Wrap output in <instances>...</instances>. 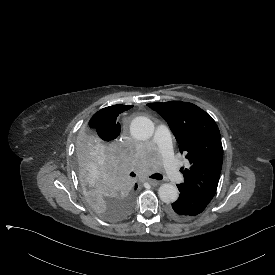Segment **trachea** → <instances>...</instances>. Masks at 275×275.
Segmentation results:
<instances>
[{"label": "trachea", "instance_id": "1", "mask_svg": "<svg viewBox=\"0 0 275 275\" xmlns=\"http://www.w3.org/2000/svg\"><path fill=\"white\" fill-rule=\"evenodd\" d=\"M130 176L134 177V176H136V175H135L134 172H131V173H130ZM150 178H152V179H157V180H161V179L163 178V176H162L161 174H159V173H155V174L151 175Z\"/></svg>", "mask_w": 275, "mask_h": 275}]
</instances>
